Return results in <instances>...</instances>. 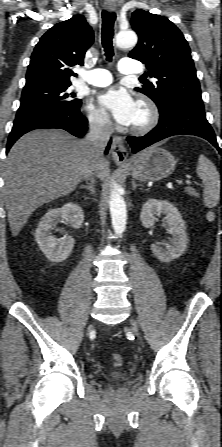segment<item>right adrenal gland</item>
<instances>
[{"instance_id":"obj_1","label":"right adrenal gland","mask_w":222,"mask_h":447,"mask_svg":"<svg viewBox=\"0 0 222 447\" xmlns=\"http://www.w3.org/2000/svg\"><path fill=\"white\" fill-rule=\"evenodd\" d=\"M80 188H85L91 192V194H95V188H94V180H90L88 185H81Z\"/></svg>"}]
</instances>
